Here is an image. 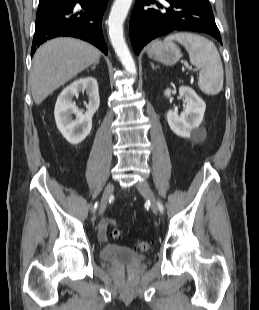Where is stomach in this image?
Instances as JSON below:
<instances>
[{
    "instance_id": "1",
    "label": "stomach",
    "mask_w": 259,
    "mask_h": 310,
    "mask_svg": "<svg viewBox=\"0 0 259 310\" xmlns=\"http://www.w3.org/2000/svg\"><path fill=\"white\" fill-rule=\"evenodd\" d=\"M148 56L151 59L164 63L165 65L175 64L181 57L179 47L173 42L155 41L148 48Z\"/></svg>"
}]
</instances>
